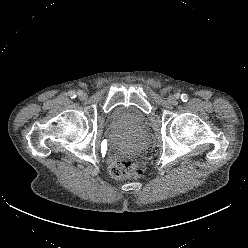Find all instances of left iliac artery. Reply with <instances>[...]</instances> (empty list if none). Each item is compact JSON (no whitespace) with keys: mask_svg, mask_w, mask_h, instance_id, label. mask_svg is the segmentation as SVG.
I'll list each match as a JSON object with an SVG mask.
<instances>
[{"mask_svg":"<svg viewBox=\"0 0 248 248\" xmlns=\"http://www.w3.org/2000/svg\"><path fill=\"white\" fill-rule=\"evenodd\" d=\"M181 99H182L183 102H187L188 101V95L187 94H182Z\"/></svg>","mask_w":248,"mask_h":248,"instance_id":"44dca946","label":"left iliac artery"}]
</instances>
